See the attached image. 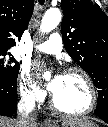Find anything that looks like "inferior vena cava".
Listing matches in <instances>:
<instances>
[{
    "instance_id": "inferior-vena-cava-1",
    "label": "inferior vena cava",
    "mask_w": 108,
    "mask_h": 127,
    "mask_svg": "<svg viewBox=\"0 0 108 127\" xmlns=\"http://www.w3.org/2000/svg\"><path fill=\"white\" fill-rule=\"evenodd\" d=\"M35 108V94L33 91H27L22 94L18 103V119L21 127H31L37 120L36 114L33 113Z\"/></svg>"
}]
</instances>
